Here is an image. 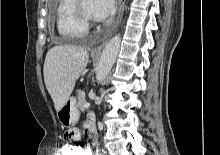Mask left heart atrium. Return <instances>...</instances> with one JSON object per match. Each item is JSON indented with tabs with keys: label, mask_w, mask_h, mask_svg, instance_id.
I'll return each mask as SVG.
<instances>
[{
	"label": "left heart atrium",
	"mask_w": 220,
	"mask_h": 155,
	"mask_svg": "<svg viewBox=\"0 0 220 155\" xmlns=\"http://www.w3.org/2000/svg\"><path fill=\"white\" fill-rule=\"evenodd\" d=\"M116 9L115 0H93L92 14L96 19L103 20L111 16Z\"/></svg>",
	"instance_id": "left-heart-atrium-1"
}]
</instances>
